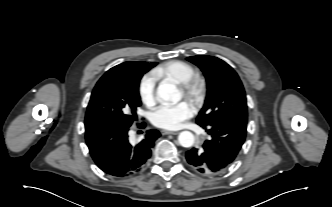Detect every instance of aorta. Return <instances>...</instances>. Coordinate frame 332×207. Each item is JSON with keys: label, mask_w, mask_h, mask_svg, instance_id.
<instances>
[{"label": "aorta", "mask_w": 332, "mask_h": 207, "mask_svg": "<svg viewBox=\"0 0 332 207\" xmlns=\"http://www.w3.org/2000/svg\"><path fill=\"white\" fill-rule=\"evenodd\" d=\"M157 96L160 100L177 103L181 100V93L174 84L162 82L157 88ZM179 144L183 147H191L194 144V135L190 131H183L178 136Z\"/></svg>", "instance_id": "aorta-1"}]
</instances>
